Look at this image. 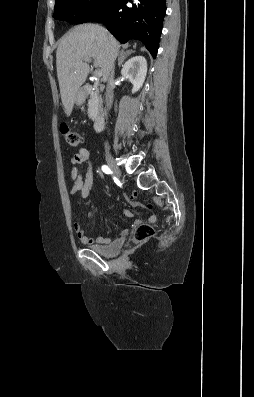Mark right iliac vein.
Returning a JSON list of instances; mask_svg holds the SVG:
<instances>
[{
	"label": "right iliac vein",
	"mask_w": 254,
	"mask_h": 397,
	"mask_svg": "<svg viewBox=\"0 0 254 397\" xmlns=\"http://www.w3.org/2000/svg\"><path fill=\"white\" fill-rule=\"evenodd\" d=\"M106 162H107L110 170L114 173V175H116L117 177H120L121 171H120L119 167L117 166L115 160L113 159V157L110 154L106 155Z\"/></svg>",
	"instance_id": "63e3f726"
}]
</instances>
